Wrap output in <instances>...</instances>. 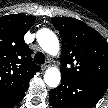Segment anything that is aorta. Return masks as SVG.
<instances>
[{"label": "aorta", "mask_w": 108, "mask_h": 108, "mask_svg": "<svg viewBox=\"0 0 108 108\" xmlns=\"http://www.w3.org/2000/svg\"><path fill=\"white\" fill-rule=\"evenodd\" d=\"M40 47L48 54L55 56L59 53L60 45L57 36L49 29H40L36 34ZM44 81L46 85L55 88L61 81L60 70L56 67H50L45 71Z\"/></svg>", "instance_id": "obj_1"}]
</instances>
